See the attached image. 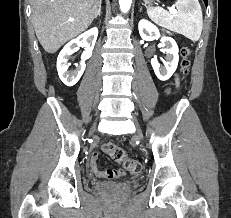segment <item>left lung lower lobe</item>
<instances>
[{"label":"left lung lower lobe","mask_w":231,"mask_h":218,"mask_svg":"<svg viewBox=\"0 0 231 218\" xmlns=\"http://www.w3.org/2000/svg\"><path fill=\"white\" fill-rule=\"evenodd\" d=\"M205 5L207 6V0H204Z\"/></svg>","instance_id":"1"}]
</instances>
